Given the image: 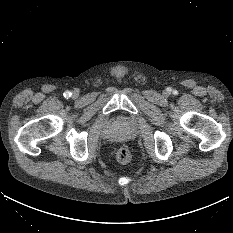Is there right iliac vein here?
Masks as SVG:
<instances>
[{
	"label": "right iliac vein",
	"instance_id": "1",
	"mask_svg": "<svg viewBox=\"0 0 233 233\" xmlns=\"http://www.w3.org/2000/svg\"><path fill=\"white\" fill-rule=\"evenodd\" d=\"M77 96V92H73V97H76Z\"/></svg>",
	"mask_w": 233,
	"mask_h": 233
}]
</instances>
